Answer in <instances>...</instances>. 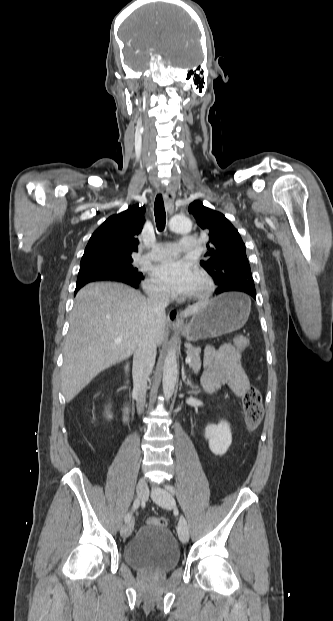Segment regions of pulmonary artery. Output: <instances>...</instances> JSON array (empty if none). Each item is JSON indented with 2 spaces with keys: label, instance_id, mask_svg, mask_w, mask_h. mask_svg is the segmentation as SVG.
Returning <instances> with one entry per match:
<instances>
[{
  "label": "pulmonary artery",
  "instance_id": "1",
  "mask_svg": "<svg viewBox=\"0 0 333 621\" xmlns=\"http://www.w3.org/2000/svg\"><path fill=\"white\" fill-rule=\"evenodd\" d=\"M197 249V240L192 236H183L179 245L171 242L155 244L151 251L144 255L150 260H163L175 257L180 251L194 252Z\"/></svg>",
  "mask_w": 333,
  "mask_h": 621
}]
</instances>
